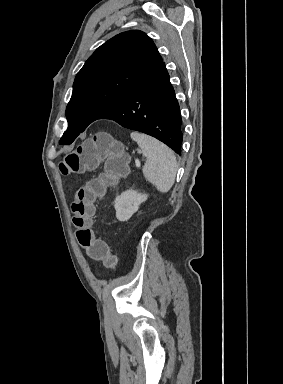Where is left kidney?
<instances>
[{"mask_svg":"<svg viewBox=\"0 0 283 384\" xmlns=\"http://www.w3.org/2000/svg\"><path fill=\"white\" fill-rule=\"evenodd\" d=\"M146 194H138L135 190H126L115 200L116 218L119 222H127L137 210L140 204L146 202Z\"/></svg>","mask_w":283,"mask_h":384,"instance_id":"obj_1","label":"left kidney"}]
</instances>
